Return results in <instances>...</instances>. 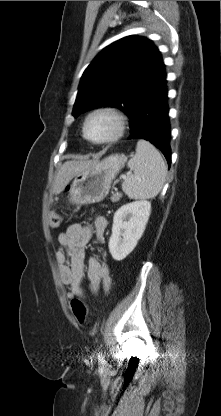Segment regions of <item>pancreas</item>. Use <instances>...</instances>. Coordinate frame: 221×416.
Returning <instances> with one entry per match:
<instances>
[{
  "label": "pancreas",
  "instance_id": "cf45deb5",
  "mask_svg": "<svg viewBox=\"0 0 221 416\" xmlns=\"http://www.w3.org/2000/svg\"><path fill=\"white\" fill-rule=\"evenodd\" d=\"M121 198H122V194L121 193H115V194L112 195L111 201L113 203H115V202H118Z\"/></svg>",
  "mask_w": 221,
  "mask_h": 416
}]
</instances>
